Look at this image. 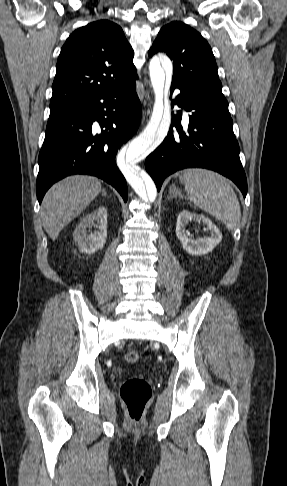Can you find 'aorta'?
I'll use <instances>...</instances> for the list:
<instances>
[{"label":"aorta","instance_id":"1","mask_svg":"<svg viewBox=\"0 0 287 486\" xmlns=\"http://www.w3.org/2000/svg\"><path fill=\"white\" fill-rule=\"evenodd\" d=\"M151 84L155 93V102L151 119L142 133L129 145L126 152V159L138 157L159 145L167 136L171 113L168 101L163 102V90L165 74L170 82L173 72L171 60L167 56H155L149 65ZM121 172L125 179L142 198L153 202L157 196V190L151 179L144 180L141 174L135 169L134 163L120 164Z\"/></svg>","mask_w":287,"mask_h":486}]
</instances>
